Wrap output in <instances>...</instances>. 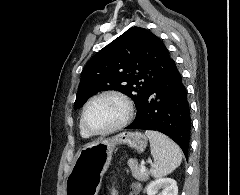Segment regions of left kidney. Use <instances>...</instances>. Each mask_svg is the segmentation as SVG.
<instances>
[{"label": "left kidney", "instance_id": "5707ae66", "mask_svg": "<svg viewBox=\"0 0 240 195\" xmlns=\"http://www.w3.org/2000/svg\"><path fill=\"white\" fill-rule=\"evenodd\" d=\"M145 189L148 195H177L178 193L177 181L171 177H160V179L150 181Z\"/></svg>", "mask_w": 240, "mask_h": 195}]
</instances>
